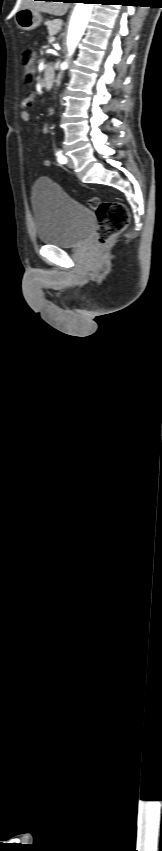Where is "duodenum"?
Returning a JSON list of instances; mask_svg holds the SVG:
<instances>
[{
	"mask_svg": "<svg viewBox=\"0 0 162 851\" xmlns=\"http://www.w3.org/2000/svg\"><path fill=\"white\" fill-rule=\"evenodd\" d=\"M53 77H54L53 70L49 66H47L45 68L43 78H42V85H43L44 88H49L52 85Z\"/></svg>",
	"mask_w": 162,
	"mask_h": 851,
	"instance_id": "1",
	"label": "duodenum"
}]
</instances>
